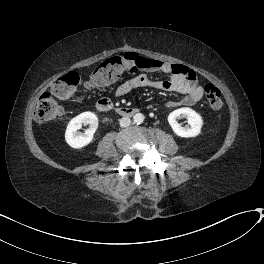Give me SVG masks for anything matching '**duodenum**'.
Returning <instances> with one entry per match:
<instances>
[{
    "label": "duodenum",
    "mask_w": 264,
    "mask_h": 264,
    "mask_svg": "<svg viewBox=\"0 0 264 264\" xmlns=\"http://www.w3.org/2000/svg\"><path fill=\"white\" fill-rule=\"evenodd\" d=\"M96 109L102 113L114 111L116 114L123 117H132L139 112L137 108L133 107H114L107 98L100 99L96 103Z\"/></svg>",
    "instance_id": "duodenum-1"
}]
</instances>
